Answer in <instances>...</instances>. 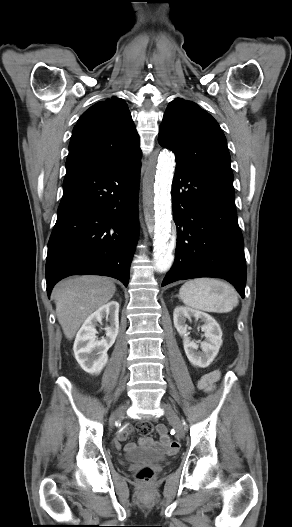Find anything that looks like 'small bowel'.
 <instances>
[{
  "label": "small bowel",
  "mask_w": 292,
  "mask_h": 527,
  "mask_svg": "<svg viewBox=\"0 0 292 527\" xmlns=\"http://www.w3.org/2000/svg\"><path fill=\"white\" fill-rule=\"evenodd\" d=\"M219 378V372L218 371H212L210 373L205 374L199 381V388L203 391H210L215 382ZM157 432L159 440L155 441L152 438L148 437L147 435H143L142 438L139 440V444L143 447H155L163 451L167 452H174L178 448V444L175 441H172L169 437V429L167 427V424L163 421L158 422L157 424ZM132 427L130 425H126L125 429H121L119 433L117 434L116 439L114 440V447L116 450H120L122 448V442H124L128 435L131 433ZM135 444L129 443L126 446V450L132 451L135 449Z\"/></svg>",
  "instance_id": "c3829d8e"
}]
</instances>
